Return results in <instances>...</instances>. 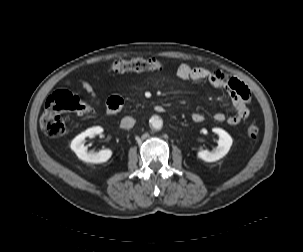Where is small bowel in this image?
<instances>
[{"label":"small bowel","instance_id":"small-bowel-1","mask_svg":"<svg viewBox=\"0 0 303 252\" xmlns=\"http://www.w3.org/2000/svg\"><path fill=\"white\" fill-rule=\"evenodd\" d=\"M177 76L183 80L198 82L207 81L211 87L224 90L230 96L236 113L234 115L227 116L223 112H216L213 115V119L217 123L227 122L230 125H237L246 118L249 114L247 103L251 99V93L249 89L241 82L235 79H225L220 74L210 71L206 68L199 66H192L189 64H180L176 70ZM81 86L90 94L91 103L93 105L100 104V98L97 93V88L94 84H91L85 80H79ZM71 81H67L65 85H70ZM192 120L197 123H201L205 120V116L199 112L192 114Z\"/></svg>","mask_w":303,"mask_h":252}]
</instances>
